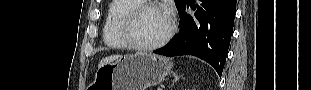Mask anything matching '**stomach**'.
<instances>
[{
    "instance_id": "0dacf381",
    "label": "stomach",
    "mask_w": 311,
    "mask_h": 90,
    "mask_svg": "<svg viewBox=\"0 0 311 90\" xmlns=\"http://www.w3.org/2000/svg\"><path fill=\"white\" fill-rule=\"evenodd\" d=\"M172 66L167 58L147 52L125 55L98 68L89 90H146L159 84Z\"/></svg>"
}]
</instances>
